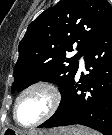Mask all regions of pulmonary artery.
Listing matches in <instances>:
<instances>
[{"mask_svg":"<svg viewBox=\"0 0 112 135\" xmlns=\"http://www.w3.org/2000/svg\"><path fill=\"white\" fill-rule=\"evenodd\" d=\"M79 70L80 71L84 70V61H83V58H80V61H79Z\"/></svg>","mask_w":112,"mask_h":135,"instance_id":"e3ab8cb5","label":"pulmonary artery"}]
</instances>
